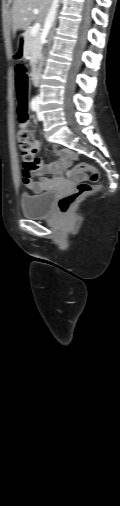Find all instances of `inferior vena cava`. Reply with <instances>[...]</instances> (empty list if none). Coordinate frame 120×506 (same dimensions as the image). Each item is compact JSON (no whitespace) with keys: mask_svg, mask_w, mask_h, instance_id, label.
I'll use <instances>...</instances> for the list:
<instances>
[{"mask_svg":"<svg viewBox=\"0 0 120 506\" xmlns=\"http://www.w3.org/2000/svg\"><path fill=\"white\" fill-rule=\"evenodd\" d=\"M58 4H59V0H52V4H51L49 12L46 16L45 24H44V32L46 34L49 32V30L52 27V24L55 20Z\"/></svg>","mask_w":120,"mask_h":506,"instance_id":"obj_1","label":"inferior vena cava"}]
</instances>
